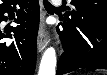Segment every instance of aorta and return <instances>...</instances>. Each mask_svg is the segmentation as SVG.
<instances>
[{
	"instance_id": "aorta-1",
	"label": "aorta",
	"mask_w": 107,
	"mask_h": 75,
	"mask_svg": "<svg viewBox=\"0 0 107 75\" xmlns=\"http://www.w3.org/2000/svg\"><path fill=\"white\" fill-rule=\"evenodd\" d=\"M56 63L57 59L55 49L50 47L42 56L38 75H55Z\"/></svg>"
}]
</instances>
